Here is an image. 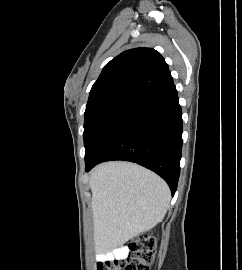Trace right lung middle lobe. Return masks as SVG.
<instances>
[{
	"instance_id": "dd1d6c3e",
	"label": "right lung middle lobe",
	"mask_w": 242,
	"mask_h": 270,
	"mask_svg": "<svg viewBox=\"0 0 242 270\" xmlns=\"http://www.w3.org/2000/svg\"><path fill=\"white\" fill-rule=\"evenodd\" d=\"M137 104L117 101L85 111V162L92 160Z\"/></svg>"
}]
</instances>
